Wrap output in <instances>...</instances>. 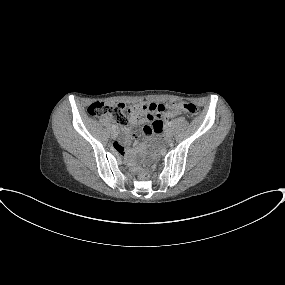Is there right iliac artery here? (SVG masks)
Segmentation results:
<instances>
[{
  "instance_id": "82829eb1",
  "label": "right iliac artery",
  "mask_w": 285,
  "mask_h": 285,
  "mask_svg": "<svg viewBox=\"0 0 285 285\" xmlns=\"http://www.w3.org/2000/svg\"><path fill=\"white\" fill-rule=\"evenodd\" d=\"M112 129H113V130H116V129H117V126H116V125H112Z\"/></svg>"
}]
</instances>
